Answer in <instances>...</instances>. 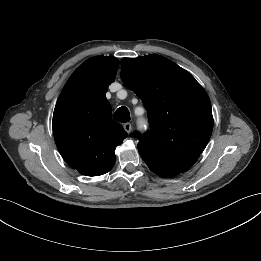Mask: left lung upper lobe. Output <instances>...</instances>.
<instances>
[{"label":"left lung upper lobe","mask_w":261,"mask_h":261,"mask_svg":"<svg viewBox=\"0 0 261 261\" xmlns=\"http://www.w3.org/2000/svg\"><path fill=\"white\" fill-rule=\"evenodd\" d=\"M123 83L143 101L150 131L136 136L149 169L172 177L188 170L205 149L213 129L209 97L186 70L152 54L121 60Z\"/></svg>","instance_id":"obj_1"}]
</instances>
